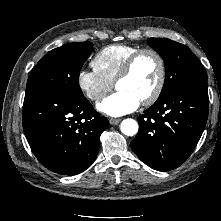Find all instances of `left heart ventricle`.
<instances>
[{"mask_svg":"<svg viewBox=\"0 0 221 221\" xmlns=\"http://www.w3.org/2000/svg\"><path fill=\"white\" fill-rule=\"evenodd\" d=\"M158 75L156 58L151 54H144L136 62L130 76L118 83L117 89L133 94L142 102L154 90Z\"/></svg>","mask_w":221,"mask_h":221,"instance_id":"left-heart-ventricle-1","label":"left heart ventricle"}]
</instances>
